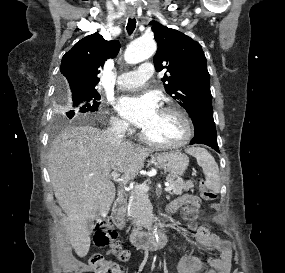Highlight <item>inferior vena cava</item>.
<instances>
[{
    "mask_svg": "<svg viewBox=\"0 0 285 273\" xmlns=\"http://www.w3.org/2000/svg\"><path fill=\"white\" fill-rule=\"evenodd\" d=\"M127 130V123L122 120H114L111 127L106 131V134L114 142H122L124 140V135Z\"/></svg>",
    "mask_w": 285,
    "mask_h": 273,
    "instance_id": "602c4592",
    "label": "inferior vena cava"
}]
</instances>
